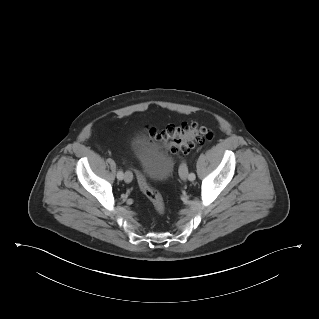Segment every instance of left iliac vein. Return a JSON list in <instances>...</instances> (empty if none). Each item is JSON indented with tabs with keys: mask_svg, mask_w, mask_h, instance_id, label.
Returning <instances> with one entry per match:
<instances>
[{
	"mask_svg": "<svg viewBox=\"0 0 319 319\" xmlns=\"http://www.w3.org/2000/svg\"><path fill=\"white\" fill-rule=\"evenodd\" d=\"M182 165H183V167L180 168L179 175H180L182 180H187V179H189L187 166L185 163H183Z\"/></svg>",
	"mask_w": 319,
	"mask_h": 319,
	"instance_id": "obj_1",
	"label": "left iliac vein"
}]
</instances>
